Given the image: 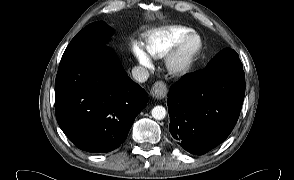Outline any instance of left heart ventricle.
Instances as JSON below:
<instances>
[{
  "label": "left heart ventricle",
  "mask_w": 294,
  "mask_h": 180,
  "mask_svg": "<svg viewBox=\"0 0 294 180\" xmlns=\"http://www.w3.org/2000/svg\"><path fill=\"white\" fill-rule=\"evenodd\" d=\"M195 46H196V41H191L185 50V54L190 53Z\"/></svg>",
  "instance_id": "b2bd125f"
}]
</instances>
